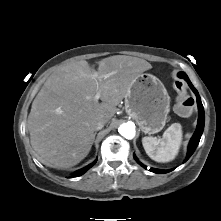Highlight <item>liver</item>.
Segmentation results:
<instances>
[{
  "instance_id": "6515ba94",
  "label": "liver",
  "mask_w": 221,
  "mask_h": 221,
  "mask_svg": "<svg viewBox=\"0 0 221 221\" xmlns=\"http://www.w3.org/2000/svg\"><path fill=\"white\" fill-rule=\"evenodd\" d=\"M151 68L143 59L115 55L99 61L96 72L81 60L52 74L35 97L27 121L39 160L59 168L83 160L94 139L91 123L109 122L133 81ZM98 92L101 103L94 100Z\"/></svg>"
}]
</instances>
